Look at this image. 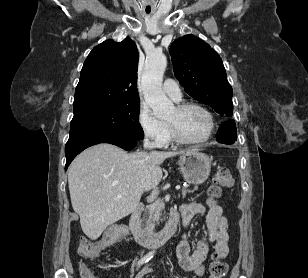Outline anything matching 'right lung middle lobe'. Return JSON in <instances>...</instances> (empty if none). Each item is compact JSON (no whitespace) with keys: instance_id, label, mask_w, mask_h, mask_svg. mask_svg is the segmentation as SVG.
<instances>
[{"instance_id":"right-lung-middle-lobe-1","label":"right lung middle lobe","mask_w":308,"mask_h":278,"mask_svg":"<svg viewBox=\"0 0 308 278\" xmlns=\"http://www.w3.org/2000/svg\"><path fill=\"white\" fill-rule=\"evenodd\" d=\"M139 111V103H136L74 115L70 123V137L85 134H111L143 139Z\"/></svg>"}]
</instances>
